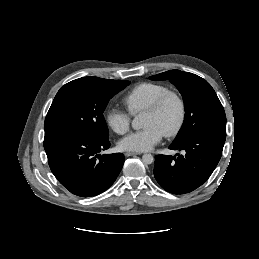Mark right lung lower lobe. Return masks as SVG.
<instances>
[{
	"label": "right lung lower lobe",
	"mask_w": 259,
	"mask_h": 259,
	"mask_svg": "<svg viewBox=\"0 0 259 259\" xmlns=\"http://www.w3.org/2000/svg\"><path fill=\"white\" fill-rule=\"evenodd\" d=\"M109 147L108 139L78 132L44 137L52 173L67 190L81 197L104 192L120 173L125 160L123 154H99Z\"/></svg>",
	"instance_id": "1"
}]
</instances>
